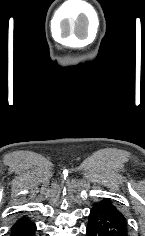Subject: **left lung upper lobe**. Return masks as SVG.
Wrapping results in <instances>:
<instances>
[{
	"instance_id": "obj_1",
	"label": "left lung upper lobe",
	"mask_w": 145,
	"mask_h": 236,
	"mask_svg": "<svg viewBox=\"0 0 145 236\" xmlns=\"http://www.w3.org/2000/svg\"><path fill=\"white\" fill-rule=\"evenodd\" d=\"M93 207L100 208L106 212L113 214L115 217L119 218L124 223L126 222V218L123 214L111 203L110 199H104L99 203L94 204Z\"/></svg>"
}]
</instances>
